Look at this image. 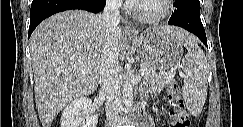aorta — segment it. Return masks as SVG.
<instances>
[{
  "instance_id": "aorta-1",
  "label": "aorta",
  "mask_w": 243,
  "mask_h": 127,
  "mask_svg": "<svg viewBox=\"0 0 243 127\" xmlns=\"http://www.w3.org/2000/svg\"><path fill=\"white\" fill-rule=\"evenodd\" d=\"M123 102L127 110H131L133 104V86L130 79H127L123 84Z\"/></svg>"
}]
</instances>
